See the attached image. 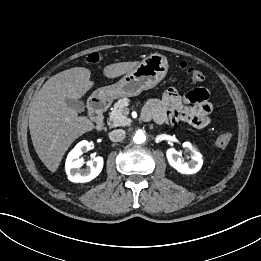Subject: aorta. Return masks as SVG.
<instances>
[{
	"label": "aorta",
	"mask_w": 261,
	"mask_h": 261,
	"mask_svg": "<svg viewBox=\"0 0 261 261\" xmlns=\"http://www.w3.org/2000/svg\"><path fill=\"white\" fill-rule=\"evenodd\" d=\"M146 140V135L142 130H137L134 137H133V141L136 144H142L144 143Z\"/></svg>",
	"instance_id": "obj_1"
}]
</instances>
